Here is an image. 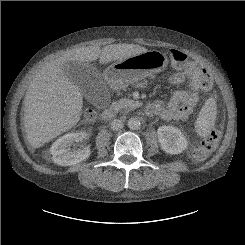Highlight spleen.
<instances>
[{
  "instance_id": "spleen-1",
  "label": "spleen",
  "mask_w": 245,
  "mask_h": 245,
  "mask_svg": "<svg viewBox=\"0 0 245 245\" xmlns=\"http://www.w3.org/2000/svg\"><path fill=\"white\" fill-rule=\"evenodd\" d=\"M217 114V106L214 98H209L203 105L195 122L196 132L205 137L212 129Z\"/></svg>"
}]
</instances>
